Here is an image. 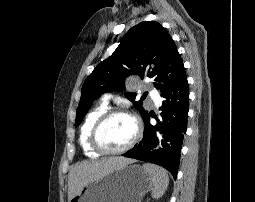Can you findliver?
Returning <instances> with one entry per match:
<instances>
[{
    "instance_id": "obj_1",
    "label": "liver",
    "mask_w": 255,
    "mask_h": 202,
    "mask_svg": "<svg viewBox=\"0 0 255 202\" xmlns=\"http://www.w3.org/2000/svg\"><path fill=\"white\" fill-rule=\"evenodd\" d=\"M131 163H133L132 159L124 157H109L76 163L68 175V202L89 182Z\"/></svg>"
}]
</instances>
